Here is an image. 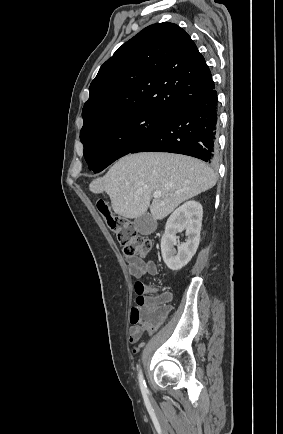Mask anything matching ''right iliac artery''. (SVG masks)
I'll list each match as a JSON object with an SVG mask.
<instances>
[{"label": "right iliac artery", "mask_w": 283, "mask_h": 434, "mask_svg": "<svg viewBox=\"0 0 283 434\" xmlns=\"http://www.w3.org/2000/svg\"><path fill=\"white\" fill-rule=\"evenodd\" d=\"M138 377H139L140 389H141L142 393L144 395H146L148 393V389H147V386H146V383H145V380L143 378V374H142L141 370L139 371Z\"/></svg>", "instance_id": "1"}]
</instances>
